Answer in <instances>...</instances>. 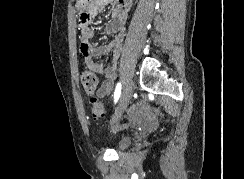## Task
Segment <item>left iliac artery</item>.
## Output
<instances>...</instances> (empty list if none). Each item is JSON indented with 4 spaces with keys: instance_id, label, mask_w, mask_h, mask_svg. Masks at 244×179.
<instances>
[{
    "instance_id": "left-iliac-artery-1",
    "label": "left iliac artery",
    "mask_w": 244,
    "mask_h": 179,
    "mask_svg": "<svg viewBox=\"0 0 244 179\" xmlns=\"http://www.w3.org/2000/svg\"><path fill=\"white\" fill-rule=\"evenodd\" d=\"M121 94V83H117L115 92H114V102L116 103L120 97Z\"/></svg>"
}]
</instances>
